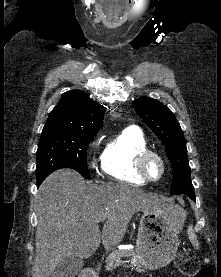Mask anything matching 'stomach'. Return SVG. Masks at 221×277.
Returning <instances> with one entry per match:
<instances>
[{
    "mask_svg": "<svg viewBox=\"0 0 221 277\" xmlns=\"http://www.w3.org/2000/svg\"><path fill=\"white\" fill-rule=\"evenodd\" d=\"M185 216L183 209L169 204L165 209L143 211L136 239V256L140 267L155 270L173 260Z\"/></svg>",
    "mask_w": 221,
    "mask_h": 277,
    "instance_id": "stomach-1",
    "label": "stomach"
}]
</instances>
